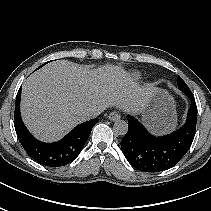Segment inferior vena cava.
I'll list each match as a JSON object with an SVG mask.
<instances>
[{"instance_id":"1","label":"inferior vena cava","mask_w":211,"mask_h":211,"mask_svg":"<svg viewBox=\"0 0 211 211\" xmlns=\"http://www.w3.org/2000/svg\"><path fill=\"white\" fill-rule=\"evenodd\" d=\"M102 112H103V109L102 108H92V109H89L86 112L85 116H87L89 119L90 118H95L98 115H100Z\"/></svg>"}]
</instances>
